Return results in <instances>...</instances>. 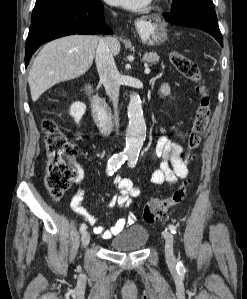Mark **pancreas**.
<instances>
[{
    "mask_svg": "<svg viewBox=\"0 0 247 299\" xmlns=\"http://www.w3.org/2000/svg\"><path fill=\"white\" fill-rule=\"evenodd\" d=\"M143 60L150 64H156L159 61V56L156 52H149L144 55Z\"/></svg>",
    "mask_w": 247,
    "mask_h": 299,
    "instance_id": "cf45deb5",
    "label": "pancreas"
}]
</instances>
